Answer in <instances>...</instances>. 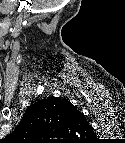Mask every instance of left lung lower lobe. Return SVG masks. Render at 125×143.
I'll use <instances>...</instances> for the list:
<instances>
[{"label": "left lung lower lobe", "mask_w": 125, "mask_h": 143, "mask_svg": "<svg viewBox=\"0 0 125 143\" xmlns=\"http://www.w3.org/2000/svg\"><path fill=\"white\" fill-rule=\"evenodd\" d=\"M85 116L69 102L65 106V122L67 125H71L75 120L80 121Z\"/></svg>", "instance_id": "obj_1"}]
</instances>
